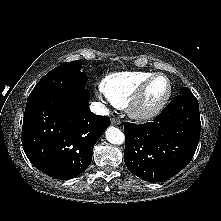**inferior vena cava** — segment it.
Returning a JSON list of instances; mask_svg holds the SVG:
<instances>
[{
	"label": "inferior vena cava",
	"instance_id": "obj_1",
	"mask_svg": "<svg viewBox=\"0 0 221 221\" xmlns=\"http://www.w3.org/2000/svg\"><path fill=\"white\" fill-rule=\"evenodd\" d=\"M90 109L93 113L97 115H103V116L109 115V110L105 107L104 104L100 102H92L90 105Z\"/></svg>",
	"mask_w": 221,
	"mask_h": 221
}]
</instances>
